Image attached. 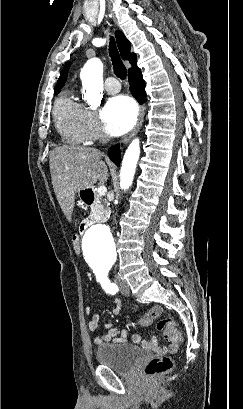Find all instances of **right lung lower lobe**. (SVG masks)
I'll return each instance as SVG.
<instances>
[{"mask_svg":"<svg viewBox=\"0 0 243 409\" xmlns=\"http://www.w3.org/2000/svg\"><path fill=\"white\" fill-rule=\"evenodd\" d=\"M129 83L132 90L133 96L140 102L143 103L146 99L145 93V82L142 78L141 71H136L133 74L129 75ZM109 158L116 164L120 165V150L119 146L111 147L109 149Z\"/></svg>","mask_w":243,"mask_h":409,"instance_id":"obj_1","label":"right lung lower lobe"}]
</instances>
